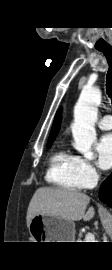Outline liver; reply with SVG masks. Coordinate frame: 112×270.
Listing matches in <instances>:
<instances>
[{"mask_svg":"<svg viewBox=\"0 0 112 270\" xmlns=\"http://www.w3.org/2000/svg\"><path fill=\"white\" fill-rule=\"evenodd\" d=\"M90 197L66 188L42 187L34 193L27 210V226L36 215L59 217L70 221L91 220L95 209L86 207Z\"/></svg>","mask_w":112,"mask_h":270,"instance_id":"1","label":"liver"}]
</instances>
